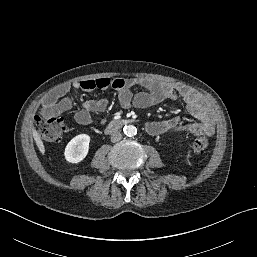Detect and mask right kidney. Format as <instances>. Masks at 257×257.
I'll list each match as a JSON object with an SVG mask.
<instances>
[{"instance_id":"right-kidney-1","label":"right kidney","mask_w":257,"mask_h":257,"mask_svg":"<svg viewBox=\"0 0 257 257\" xmlns=\"http://www.w3.org/2000/svg\"><path fill=\"white\" fill-rule=\"evenodd\" d=\"M90 136L87 134H79L75 136L67 144L65 148V159L70 163L81 162L88 154Z\"/></svg>"}]
</instances>
